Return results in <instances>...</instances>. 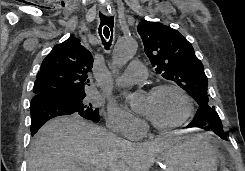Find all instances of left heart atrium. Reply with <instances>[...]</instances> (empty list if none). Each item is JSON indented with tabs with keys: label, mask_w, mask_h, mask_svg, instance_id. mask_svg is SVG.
Wrapping results in <instances>:
<instances>
[{
	"label": "left heart atrium",
	"mask_w": 245,
	"mask_h": 171,
	"mask_svg": "<svg viewBox=\"0 0 245 171\" xmlns=\"http://www.w3.org/2000/svg\"><path fill=\"white\" fill-rule=\"evenodd\" d=\"M145 114L148 116V112L147 111H145Z\"/></svg>",
	"instance_id": "39dd6f15"
}]
</instances>
